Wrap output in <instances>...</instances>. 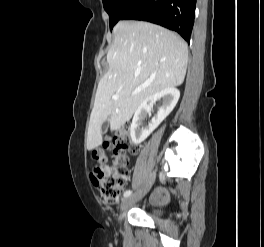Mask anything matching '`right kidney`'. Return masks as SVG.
Wrapping results in <instances>:
<instances>
[{"label": "right kidney", "mask_w": 264, "mask_h": 247, "mask_svg": "<svg viewBox=\"0 0 264 247\" xmlns=\"http://www.w3.org/2000/svg\"><path fill=\"white\" fill-rule=\"evenodd\" d=\"M180 97L178 89L171 87L161 90L143 101L135 111L130 127L131 139L135 144L143 142L171 113ZM162 99V106L158 109L148 126H142V121L147 114H151V107L157 100Z\"/></svg>", "instance_id": "obj_1"}]
</instances>
